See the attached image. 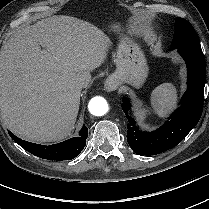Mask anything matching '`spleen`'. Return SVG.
<instances>
[{
    "mask_svg": "<svg viewBox=\"0 0 209 209\" xmlns=\"http://www.w3.org/2000/svg\"><path fill=\"white\" fill-rule=\"evenodd\" d=\"M150 98L157 115L164 118L175 106L177 89L172 83H162L152 91Z\"/></svg>",
    "mask_w": 209,
    "mask_h": 209,
    "instance_id": "obj_1",
    "label": "spleen"
}]
</instances>
